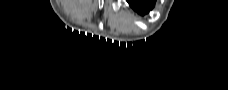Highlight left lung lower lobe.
<instances>
[{"label": "left lung lower lobe", "mask_w": 228, "mask_h": 90, "mask_svg": "<svg viewBox=\"0 0 228 90\" xmlns=\"http://www.w3.org/2000/svg\"><path fill=\"white\" fill-rule=\"evenodd\" d=\"M128 3L138 13L145 14L154 6L155 1H153V0H129Z\"/></svg>", "instance_id": "left-lung-lower-lobe-1"}]
</instances>
